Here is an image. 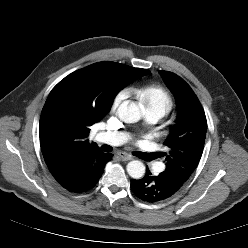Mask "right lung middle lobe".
<instances>
[{
  "mask_svg": "<svg viewBox=\"0 0 248 248\" xmlns=\"http://www.w3.org/2000/svg\"><path fill=\"white\" fill-rule=\"evenodd\" d=\"M150 71L141 68H134L127 65H121L118 69V77L119 79L124 82V84H128L131 81L148 74Z\"/></svg>",
  "mask_w": 248,
  "mask_h": 248,
  "instance_id": "dd1d6c3e",
  "label": "right lung middle lobe"
}]
</instances>
